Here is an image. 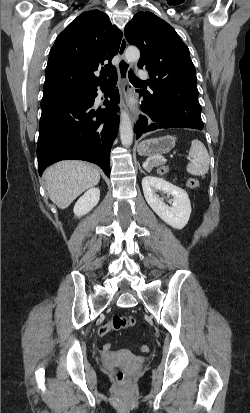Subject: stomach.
Wrapping results in <instances>:
<instances>
[{
    "label": "stomach",
    "instance_id": "1",
    "mask_svg": "<svg viewBox=\"0 0 250 413\" xmlns=\"http://www.w3.org/2000/svg\"><path fill=\"white\" fill-rule=\"evenodd\" d=\"M173 136H164L142 141L138 146V153L148 157H158L170 152L175 146Z\"/></svg>",
    "mask_w": 250,
    "mask_h": 413
}]
</instances>
